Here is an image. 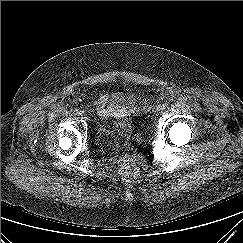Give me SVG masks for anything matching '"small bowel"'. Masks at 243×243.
I'll return each mask as SVG.
<instances>
[{
    "label": "small bowel",
    "mask_w": 243,
    "mask_h": 243,
    "mask_svg": "<svg viewBox=\"0 0 243 243\" xmlns=\"http://www.w3.org/2000/svg\"><path fill=\"white\" fill-rule=\"evenodd\" d=\"M97 114L103 119L119 121L127 117L135 106V98L124 93H102L94 101Z\"/></svg>",
    "instance_id": "1"
}]
</instances>
